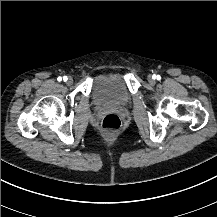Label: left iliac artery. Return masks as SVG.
I'll list each match as a JSON object with an SVG mask.
<instances>
[{"label": "left iliac artery", "instance_id": "44dca946", "mask_svg": "<svg viewBox=\"0 0 217 217\" xmlns=\"http://www.w3.org/2000/svg\"><path fill=\"white\" fill-rule=\"evenodd\" d=\"M154 77H155L157 80H160V79H161L160 75H154Z\"/></svg>", "mask_w": 217, "mask_h": 217}]
</instances>
